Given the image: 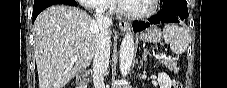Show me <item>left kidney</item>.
<instances>
[{
	"label": "left kidney",
	"mask_w": 227,
	"mask_h": 88,
	"mask_svg": "<svg viewBox=\"0 0 227 88\" xmlns=\"http://www.w3.org/2000/svg\"><path fill=\"white\" fill-rule=\"evenodd\" d=\"M158 83L160 88H171L172 80L166 73L158 74Z\"/></svg>",
	"instance_id": "left-kidney-1"
}]
</instances>
